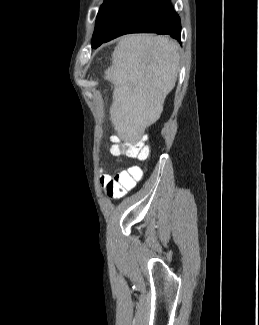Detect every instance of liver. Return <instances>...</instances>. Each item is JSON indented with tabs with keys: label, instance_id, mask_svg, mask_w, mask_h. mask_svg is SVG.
Here are the masks:
<instances>
[{
	"label": "liver",
	"instance_id": "1",
	"mask_svg": "<svg viewBox=\"0 0 259 325\" xmlns=\"http://www.w3.org/2000/svg\"><path fill=\"white\" fill-rule=\"evenodd\" d=\"M179 45L166 36L121 37L105 79L114 85L110 120L119 138L138 142L163 111L179 71Z\"/></svg>",
	"mask_w": 259,
	"mask_h": 325
}]
</instances>
